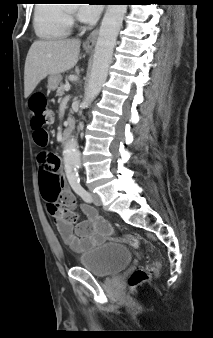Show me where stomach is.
I'll list each match as a JSON object with an SVG mask.
<instances>
[{"label":"stomach","mask_w":213,"mask_h":338,"mask_svg":"<svg viewBox=\"0 0 213 338\" xmlns=\"http://www.w3.org/2000/svg\"><path fill=\"white\" fill-rule=\"evenodd\" d=\"M61 80L62 76L60 74L49 75L47 88L51 91H54L60 84Z\"/></svg>","instance_id":"obj_1"}]
</instances>
